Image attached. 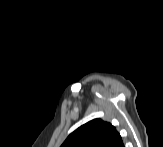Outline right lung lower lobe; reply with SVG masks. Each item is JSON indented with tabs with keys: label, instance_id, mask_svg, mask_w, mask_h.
I'll use <instances>...</instances> for the list:
<instances>
[{
	"label": "right lung lower lobe",
	"instance_id": "obj_1",
	"mask_svg": "<svg viewBox=\"0 0 163 147\" xmlns=\"http://www.w3.org/2000/svg\"><path fill=\"white\" fill-rule=\"evenodd\" d=\"M116 147H124L123 142L121 141L119 144L116 145Z\"/></svg>",
	"mask_w": 163,
	"mask_h": 147
}]
</instances>
